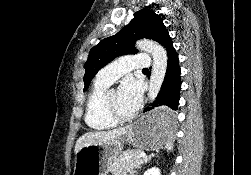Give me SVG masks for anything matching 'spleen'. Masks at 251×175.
<instances>
[{"instance_id": "spleen-1", "label": "spleen", "mask_w": 251, "mask_h": 175, "mask_svg": "<svg viewBox=\"0 0 251 175\" xmlns=\"http://www.w3.org/2000/svg\"><path fill=\"white\" fill-rule=\"evenodd\" d=\"M166 147H167V149H171L172 143H166Z\"/></svg>"}]
</instances>
